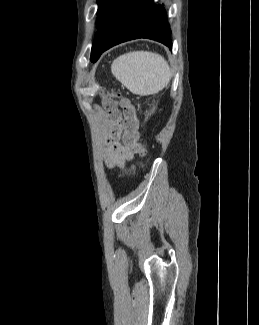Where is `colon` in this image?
<instances>
[{
	"label": "colon",
	"instance_id": "colon-1",
	"mask_svg": "<svg viewBox=\"0 0 259 325\" xmlns=\"http://www.w3.org/2000/svg\"><path fill=\"white\" fill-rule=\"evenodd\" d=\"M116 106L119 111L116 110ZM104 107L111 113L114 122H108V129H119L121 120L123 127V143L135 153H144L140 142L139 119L134 104L126 97L117 96L116 100L109 98ZM117 111V114L115 112Z\"/></svg>",
	"mask_w": 259,
	"mask_h": 325
}]
</instances>
